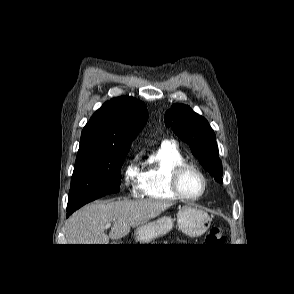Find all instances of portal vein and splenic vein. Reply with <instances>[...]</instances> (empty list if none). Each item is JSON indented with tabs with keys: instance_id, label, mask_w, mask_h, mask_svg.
I'll use <instances>...</instances> for the list:
<instances>
[{
	"instance_id": "18ae733b",
	"label": "portal vein and splenic vein",
	"mask_w": 294,
	"mask_h": 294,
	"mask_svg": "<svg viewBox=\"0 0 294 294\" xmlns=\"http://www.w3.org/2000/svg\"><path fill=\"white\" fill-rule=\"evenodd\" d=\"M105 227H106V228L111 227V223H107Z\"/></svg>"
}]
</instances>
